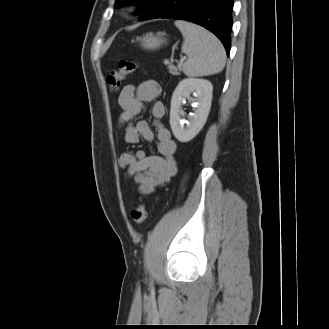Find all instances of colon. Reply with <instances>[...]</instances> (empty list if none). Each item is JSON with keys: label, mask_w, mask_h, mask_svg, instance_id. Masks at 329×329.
Listing matches in <instances>:
<instances>
[{"label": "colon", "mask_w": 329, "mask_h": 329, "mask_svg": "<svg viewBox=\"0 0 329 329\" xmlns=\"http://www.w3.org/2000/svg\"><path fill=\"white\" fill-rule=\"evenodd\" d=\"M137 69V64L131 60L123 59L119 62L118 68L112 71L107 76V83L111 90L118 91L122 80L135 72ZM147 217L146 205L141 202L135 209L131 212L132 220L139 226H141Z\"/></svg>", "instance_id": "5ec220e1"}]
</instances>
